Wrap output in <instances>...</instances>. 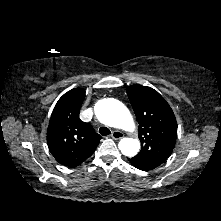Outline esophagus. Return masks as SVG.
Segmentation results:
<instances>
[{"label": "esophagus", "instance_id": "1", "mask_svg": "<svg viewBox=\"0 0 221 221\" xmlns=\"http://www.w3.org/2000/svg\"><path fill=\"white\" fill-rule=\"evenodd\" d=\"M124 134L121 131L113 130L111 133V137L115 140L123 138Z\"/></svg>", "mask_w": 221, "mask_h": 221}]
</instances>
